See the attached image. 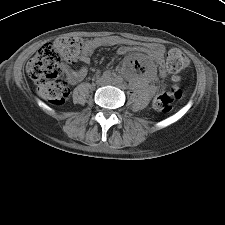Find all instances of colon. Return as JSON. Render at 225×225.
I'll use <instances>...</instances> for the list:
<instances>
[{"label": "colon", "mask_w": 225, "mask_h": 225, "mask_svg": "<svg viewBox=\"0 0 225 225\" xmlns=\"http://www.w3.org/2000/svg\"><path fill=\"white\" fill-rule=\"evenodd\" d=\"M80 48V38L62 36L54 42L44 44L27 64V76L37 84L38 94L49 103L62 105L68 98L69 86L61 75L65 63L77 61ZM187 64L186 55L178 49H173L167 55L164 71L177 73ZM182 96L181 88L176 86L169 92L158 94L153 100V106L158 111L168 112Z\"/></svg>", "instance_id": "1"}]
</instances>
